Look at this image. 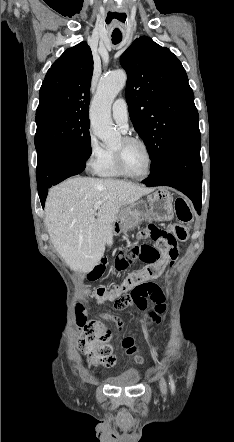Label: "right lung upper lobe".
Segmentation results:
<instances>
[{
  "instance_id": "obj_1",
  "label": "right lung upper lobe",
  "mask_w": 234,
  "mask_h": 442,
  "mask_svg": "<svg viewBox=\"0 0 234 442\" xmlns=\"http://www.w3.org/2000/svg\"><path fill=\"white\" fill-rule=\"evenodd\" d=\"M93 57L86 42L67 49L48 70L39 93L36 117L89 111Z\"/></svg>"
}]
</instances>
